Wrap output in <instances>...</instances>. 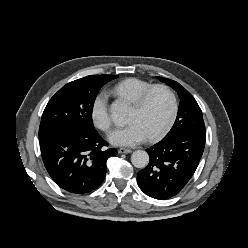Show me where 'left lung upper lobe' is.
Instances as JSON below:
<instances>
[{"label":"left lung upper lobe","mask_w":248,"mask_h":248,"mask_svg":"<svg viewBox=\"0 0 248 248\" xmlns=\"http://www.w3.org/2000/svg\"><path fill=\"white\" fill-rule=\"evenodd\" d=\"M157 78L177 91L180 98L176 121L164 138L189 131L206 134L202 111L194 97L178 82L163 77Z\"/></svg>","instance_id":"obj_1"}]
</instances>
